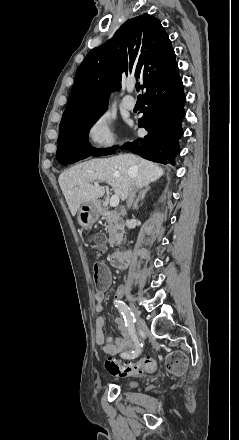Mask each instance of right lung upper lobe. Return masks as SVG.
Returning <instances> with one entry per match:
<instances>
[{"label": "right lung upper lobe", "mask_w": 239, "mask_h": 440, "mask_svg": "<svg viewBox=\"0 0 239 440\" xmlns=\"http://www.w3.org/2000/svg\"><path fill=\"white\" fill-rule=\"evenodd\" d=\"M175 64L171 41L158 19L143 14L127 20L78 67L61 123L107 107L109 94L121 88L125 76L139 78L143 88Z\"/></svg>", "instance_id": "cb5924a9"}]
</instances>
